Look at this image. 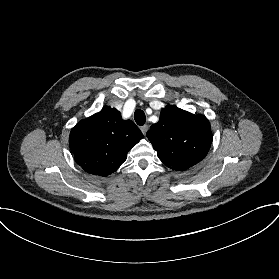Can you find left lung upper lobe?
<instances>
[{"mask_svg":"<svg viewBox=\"0 0 279 279\" xmlns=\"http://www.w3.org/2000/svg\"><path fill=\"white\" fill-rule=\"evenodd\" d=\"M147 137L159 159L174 170H185L205 158L212 133L208 119L168 105L162 109L158 123Z\"/></svg>","mask_w":279,"mask_h":279,"instance_id":"5c2ea615","label":"left lung upper lobe"}]
</instances>
